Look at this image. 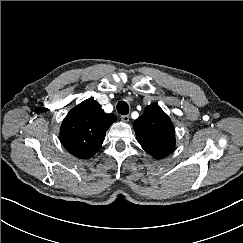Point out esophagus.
I'll list each match as a JSON object with an SVG mask.
<instances>
[{"label":"esophagus","instance_id":"esophagus-1","mask_svg":"<svg viewBox=\"0 0 243 243\" xmlns=\"http://www.w3.org/2000/svg\"><path fill=\"white\" fill-rule=\"evenodd\" d=\"M121 120L124 122H128L130 120V117H129V115H122Z\"/></svg>","mask_w":243,"mask_h":243}]
</instances>
